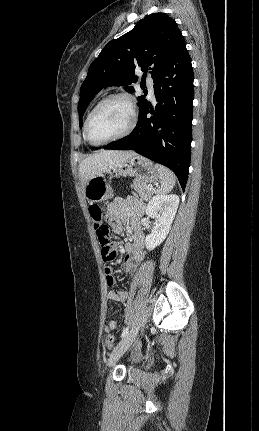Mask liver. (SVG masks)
<instances>
[{"label":"liver","mask_w":259,"mask_h":431,"mask_svg":"<svg viewBox=\"0 0 259 431\" xmlns=\"http://www.w3.org/2000/svg\"><path fill=\"white\" fill-rule=\"evenodd\" d=\"M135 155L133 151L108 150L86 157L79 166L82 188L91 178L111 172Z\"/></svg>","instance_id":"1"}]
</instances>
